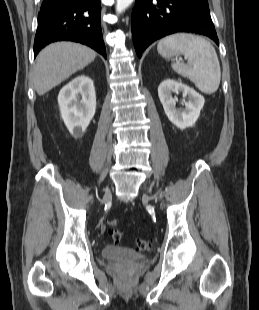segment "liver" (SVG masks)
<instances>
[{
    "label": "liver",
    "mask_w": 259,
    "mask_h": 310,
    "mask_svg": "<svg viewBox=\"0 0 259 310\" xmlns=\"http://www.w3.org/2000/svg\"><path fill=\"white\" fill-rule=\"evenodd\" d=\"M96 52L73 42H57L44 48L36 59L34 88L38 95L50 91L94 61Z\"/></svg>",
    "instance_id": "6515ba94"
}]
</instances>
